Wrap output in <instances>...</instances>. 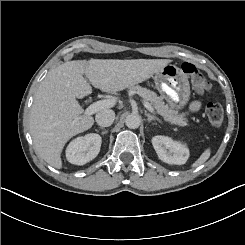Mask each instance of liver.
Instances as JSON below:
<instances>
[{
  "label": "liver",
  "instance_id": "6515ba94",
  "mask_svg": "<svg viewBox=\"0 0 245 245\" xmlns=\"http://www.w3.org/2000/svg\"><path fill=\"white\" fill-rule=\"evenodd\" d=\"M162 59L72 60L52 69L36 92L29 120L33 143L41 158L60 168V152L72 136L90 128L93 117L76 98L92 91H118L141 82L166 65Z\"/></svg>",
  "mask_w": 245,
  "mask_h": 245
}]
</instances>
